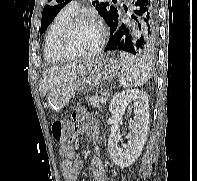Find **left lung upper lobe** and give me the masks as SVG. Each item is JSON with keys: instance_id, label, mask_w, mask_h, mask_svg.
<instances>
[{"instance_id": "left-lung-upper-lobe-1", "label": "left lung upper lobe", "mask_w": 197, "mask_h": 181, "mask_svg": "<svg viewBox=\"0 0 197 181\" xmlns=\"http://www.w3.org/2000/svg\"><path fill=\"white\" fill-rule=\"evenodd\" d=\"M70 1L71 0H48V2H52V5H46L43 9L40 33L46 30L57 13ZM92 4L96 6V10L104 18L107 25L118 18L117 9L113 6L109 7L108 3L92 2Z\"/></svg>"}]
</instances>
